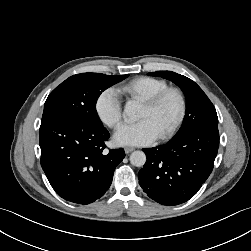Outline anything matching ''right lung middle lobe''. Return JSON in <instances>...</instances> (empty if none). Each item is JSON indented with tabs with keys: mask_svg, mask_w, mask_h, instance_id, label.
Instances as JSON below:
<instances>
[{
	"mask_svg": "<svg viewBox=\"0 0 251 251\" xmlns=\"http://www.w3.org/2000/svg\"><path fill=\"white\" fill-rule=\"evenodd\" d=\"M128 76L129 74L114 76L82 73L69 77L48 96L41 122L58 117H71L103 126L96 112L97 99L104 90Z\"/></svg>",
	"mask_w": 251,
	"mask_h": 251,
	"instance_id": "dd1d6c3e",
	"label": "right lung middle lobe"
}]
</instances>
